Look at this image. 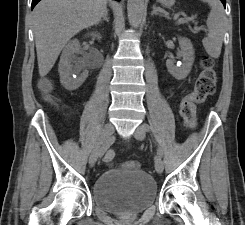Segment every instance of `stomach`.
Wrapping results in <instances>:
<instances>
[{"label": "stomach", "mask_w": 245, "mask_h": 225, "mask_svg": "<svg viewBox=\"0 0 245 225\" xmlns=\"http://www.w3.org/2000/svg\"><path fill=\"white\" fill-rule=\"evenodd\" d=\"M161 2L163 5L170 7L174 4L175 0H162Z\"/></svg>", "instance_id": "1"}]
</instances>
